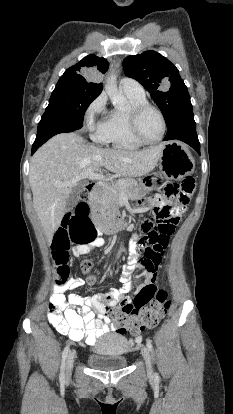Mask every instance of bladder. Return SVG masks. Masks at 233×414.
<instances>
[{"instance_id":"bladder-1","label":"bladder","mask_w":233,"mask_h":414,"mask_svg":"<svg viewBox=\"0 0 233 414\" xmlns=\"http://www.w3.org/2000/svg\"><path fill=\"white\" fill-rule=\"evenodd\" d=\"M128 343L125 336L118 332L103 335L95 345V353L87 358L88 365L98 371L120 370L127 366L125 353Z\"/></svg>"}]
</instances>
